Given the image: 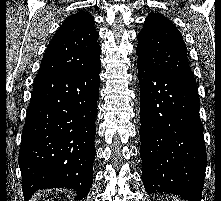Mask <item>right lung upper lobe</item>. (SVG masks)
<instances>
[{
  "instance_id": "right-lung-upper-lobe-1",
  "label": "right lung upper lobe",
  "mask_w": 221,
  "mask_h": 201,
  "mask_svg": "<svg viewBox=\"0 0 221 201\" xmlns=\"http://www.w3.org/2000/svg\"><path fill=\"white\" fill-rule=\"evenodd\" d=\"M99 35L87 12L67 17L50 41L39 73L76 74L101 66Z\"/></svg>"
}]
</instances>
